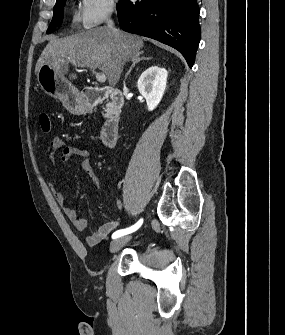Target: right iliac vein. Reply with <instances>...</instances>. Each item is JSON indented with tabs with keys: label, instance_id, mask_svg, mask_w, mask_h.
Masks as SVG:
<instances>
[{
	"label": "right iliac vein",
	"instance_id": "obj_1",
	"mask_svg": "<svg viewBox=\"0 0 285 335\" xmlns=\"http://www.w3.org/2000/svg\"><path fill=\"white\" fill-rule=\"evenodd\" d=\"M129 240H130L129 236L120 237V238L114 240L111 243L110 252L111 253L118 252L126 243L129 242Z\"/></svg>",
	"mask_w": 285,
	"mask_h": 335
}]
</instances>
